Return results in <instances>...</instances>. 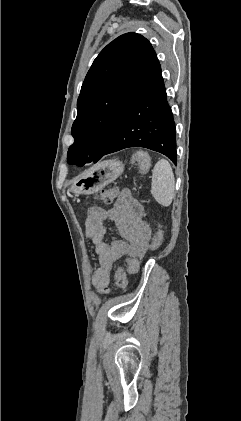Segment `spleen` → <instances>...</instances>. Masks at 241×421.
I'll list each match as a JSON object with an SVG mask.
<instances>
[{"instance_id":"1","label":"spleen","mask_w":241,"mask_h":421,"mask_svg":"<svg viewBox=\"0 0 241 421\" xmlns=\"http://www.w3.org/2000/svg\"><path fill=\"white\" fill-rule=\"evenodd\" d=\"M151 193L162 206L168 207L175 195V179L169 162L160 159L152 170Z\"/></svg>"}]
</instances>
